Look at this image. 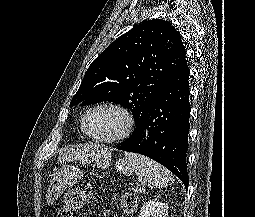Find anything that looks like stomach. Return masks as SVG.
<instances>
[{"label":"stomach","instance_id":"stomach-1","mask_svg":"<svg viewBox=\"0 0 255 217\" xmlns=\"http://www.w3.org/2000/svg\"><path fill=\"white\" fill-rule=\"evenodd\" d=\"M101 160H103V157L101 158ZM115 165L117 170L125 175H130L133 171L131 164L126 158L118 159ZM81 177V170L74 166H64L63 168L58 170L54 174V177L51 180L50 185L48 186L46 191L47 204H54V202L58 200V198L61 196L63 191L76 183Z\"/></svg>","mask_w":255,"mask_h":217}]
</instances>
